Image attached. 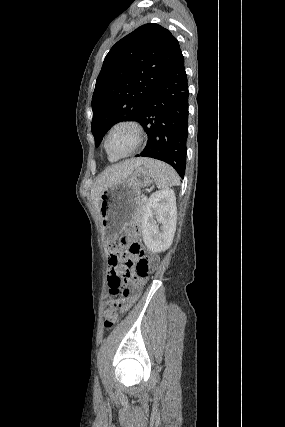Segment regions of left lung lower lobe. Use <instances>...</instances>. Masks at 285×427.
Wrapping results in <instances>:
<instances>
[{
    "instance_id": "obj_1",
    "label": "left lung lower lobe",
    "mask_w": 285,
    "mask_h": 427,
    "mask_svg": "<svg viewBox=\"0 0 285 427\" xmlns=\"http://www.w3.org/2000/svg\"><path fill=\"white\" fill-rule=\"evenodd\" d=\"M188 83L184 56L179 55L143 108L138 122L148 134L145 149L136 157L170 164L184 177L188 137Z\"/></svg>"
}]
</instances>
